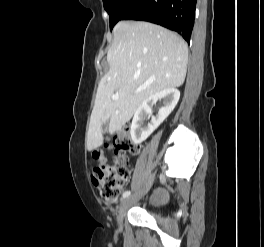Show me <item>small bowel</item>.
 <instances>
[{
  "label": "small bowel",
  "mask_w": 264,
  "mask_h": 247,
  "mask_svg": "<svg viewBox=\"0 0 264 247\" xmlns=\"http://www.w3.org/2000/svg\"><path fill=\"white\" fill-rule=\"evenodd\" d=\"M153 198L156 200H164L166 199V194L163 191H158L154 194Z\"/></svg>",
  "instance_id": "c3829d8e"
}]
</instances>
